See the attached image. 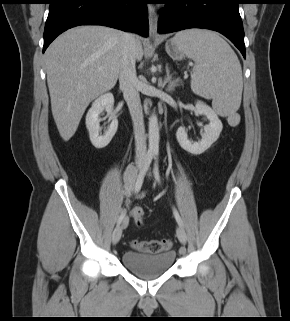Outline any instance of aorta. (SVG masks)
<instances>
[{
	"label": "aorta",
	"instance_id": "obj_1",
	"mask_svg": "<svg viewBox=\"0 0 290 321\" xmlns=\"http://www.w3.org/2000/svg\"><path fill=\"white\" fill-rule=\"evenodd\" d=\"M148 134H149V148L153 151L159 149V124L158 118L155 114L149 117L148 123Z\"/></svg>",
	"mask_w": 290,
	"mask_h": 321
}]
</instances>
